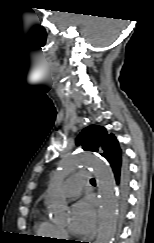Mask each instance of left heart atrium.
Segmentation results:
<instances>
[{
    "label": "left heart atrium",
    "mask_w": 154,
    "mask_h": 243,
    "mask_svg": "<svg viewBox=\"0 0 154 243\" xmlns=\"http://www.w3.org/2000/svg\"><path fill=\"white\" fill-rule=\"evenodd\" d=\"M96 224V213L93 203L85 198L78 201L73 208L70 230L78 235H88Z\"/></svg>",
    "instance_id": "1"
}]
</instances>
